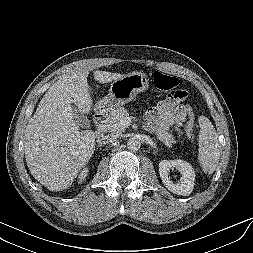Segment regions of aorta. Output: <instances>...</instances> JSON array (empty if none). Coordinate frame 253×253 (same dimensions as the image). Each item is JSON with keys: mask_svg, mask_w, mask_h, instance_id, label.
<instances>
[{"mask_svg": "<svg viewBox=\"0 0 253 253\" xmlns=\"http://www.w3.org/2000/svg\"><path fill=\"white\" fill-rule=\"evenodd\" d=\"M140 146H141V142L136 137H131L127 141V148L130 151H137V150H139Z\"/></svg>", "mask_w": 253, "mask_h": 253, "instance_id": "762f6f07", "label": "aorta"}]
</instances>
